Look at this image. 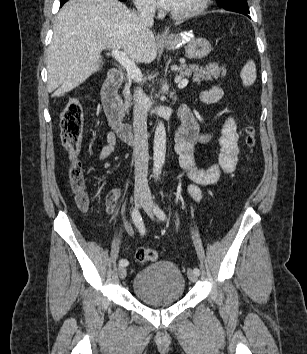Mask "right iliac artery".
<instances>
[{"mask_svg": "<svg viewBox=\"0 0 307 354\" xmlns=\"http://www.w3.org/2000/svg\"><path fill=\"white\" fill-rule=\"evenodd\" d=\"M132 219H133L134 224L136 225V227L140 231L141 235H144V233H145L144 224L142 222L141 215H140L137 208L133 209V211H132ZM128 264H129V262L126 259H121L119 261L120 266H128Z\"/></svg>", "mask_w": 307, "mask_h": 354, "instance_id": "1", "label": "right iliac artery"}]
</instances>
